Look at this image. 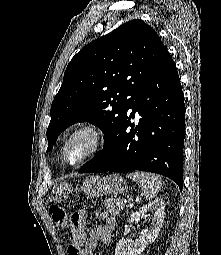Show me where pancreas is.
Returning a JSON list of instances; mask_svg holds the SVG:
<instances>
[{
	"label": "pancreas",
	"mask_w": 221,
	"mask_h": 255,
	"mask_svg": "<svg viewBox=\"0 0 221 255\" xmlns=\"http://www.w3.org/2000/svg\"><path fill=\"white\" fill-rule=\"evenodd\" d=\"M104 205L108 209V211L111 214L117 215L121 210H123L125 207V202L123 199L118 198V199H107L104 201Z\"/></svg>",
	"instance_id": "obj_1"
}]
</instances>
